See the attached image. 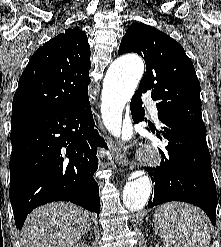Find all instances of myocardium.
<instances>
[{
    "label": "myocardium",
    "mask_w": 221,
    "mask_h": 247,
    "mask_svg": "<svg viewBox=\"0 0 221 247\" xmlns=\"http://www.w3.org/2000/svg\"><path fill=\"white\" fill-rule=\"evenodd\" d=\"M161 154L156 148H149L145 153L144 160L150 165H156L161 161Z\"/></svg>",
    "instance_id": "1"
}]
</instances>
